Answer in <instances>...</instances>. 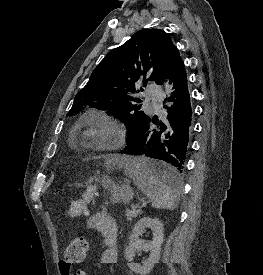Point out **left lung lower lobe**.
<instances>
[{
    "label": "left lung lower lobe",
    "instance_id": "0a47b994",
    "mask_svg": "<svg viewBox=\"0 0 263 275\" xmlns=\"http://www.w3.org/2000/svg\"><path fill=\"white\" fill-rule=\"evenodd\" d=\"M168 78L173 83L175 92L174 105L164 106L168 109L165 123L147 120L127 141L122 154L143 156L155 159L152 174L161 181L173 184L186 164V153L192 131V107L187 86L185 67L179 52L173 55L161 81ZM170 100V98L168 99ZM165 99L164 103H166ZM157 124L159 130H152L151 124Z\"/></svg>",
    "mask_w": 263,
    "mask_h": 275
}]
</instances>
